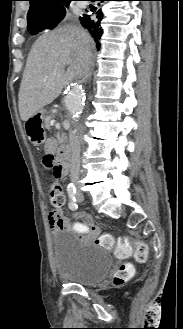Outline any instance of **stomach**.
Wrapping results in <instances>:
<instances>
[{
	"instance_id": "obj_1",
	"label": "stomach",
	"mask_w": 183,
	"mask_h": 329,
	"mask_svg": "<svg viewBox=\"0 0 183 329\" xmlns=\"http://www.w3.org/2000/svg\"><path fill=\"white\" fill-rule=\"evenodd\" d=\"M44 113H45V110L44 109H40L35 115H39L41 118H43ZM40 142H43V140L36 141V143H40Z\"/></svg>"
}]
</instances>
